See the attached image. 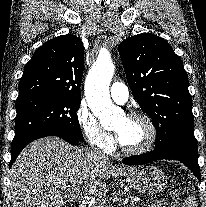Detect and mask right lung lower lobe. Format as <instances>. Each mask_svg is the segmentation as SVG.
<instances>
[{
    "label": "right lung lower lobe",
    "instance_id": "right-lung-lower-lobe-1",
    "mask_svg": "<svg viewBox=\"0 0 206 207\" xmlns=\"http://www.w3.org/2000/svg\"><path fill=\"white\" fill-rule=\"evenodd\" d=\"M46 136H58V137L64 139L65 141H67L70 144H76L80 141V140H77V139L70 138V137H68L66 135H63L61 133H58V132H42V133L36 134V135L30 137L29 139H27L26 141L22 142L21 144H19L18 146L12 147V149H11V161L9 163V168L12 166V164L16 160L17 156L19 155V153L23 150V148L27 144L31 143L32 141H34L36 139L46 137Z\"/></svg>",
    "mask_w": 206,
    "mask_h": 207
}]
</instances>
